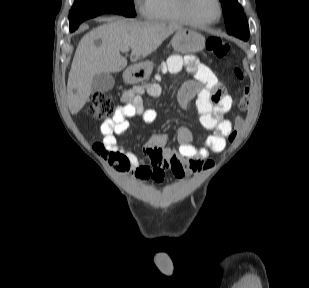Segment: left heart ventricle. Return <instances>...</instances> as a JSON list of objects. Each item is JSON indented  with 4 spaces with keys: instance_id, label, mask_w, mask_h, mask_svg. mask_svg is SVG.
<instances>
[{
    "instance_id": "obj_1",
    "label": "left heart ventricle",
    "mask_w": 309,
    "mask_h": 288,
    "mask_svg": "<svg viewBox=\"0 0 309 288\" xmlns=\"http://www.w3.org/2000/svg\"><path fill=\"white\" fill-rule=\"evenodd\" d=\"M193 16L203 22L215 20L218 16L216 0H190Z\"/></svg>"
}]
</instances>
